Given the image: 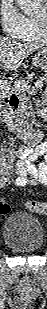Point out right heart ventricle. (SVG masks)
I'll use <instances>...</instances> for the list:
<instances>
[{"label": "right heart ventricle", "mask_w": 47, "mask_h": 309, "mask_svg": "<svg viewBox=\"0 0 47 309\" xmlns=\"http://www.w3.org/2000/svg\"><path fill=\"white\" fill-rule=\"evenodd\" d=\"M45 39L37 17H25V31L19 40L29 44H41L45 42Z\"/></svg>", "instance_id": "1"}]
</instances>
